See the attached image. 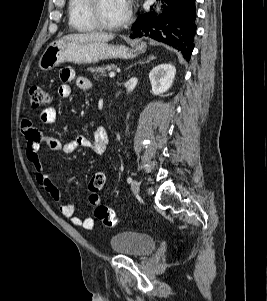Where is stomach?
Segmentation results:
<instances>
[{
	"mask_svg": "<svg viewBox=\"0 0 267 301\" xmlns=\"http://www.w3.org/2000/svg\"><path fill=\"white\" fill-rule=\"evenodd\" d=\"M144 51L145 45L142 43H133L132 48H128L124 45H111L107 42L81 43L61 39L48 45L40 57L38 65L42 71H49L65 62L84 64L112 58L127 59Z\"/></svg>",
	"mask_w": 267,
	"mask_h": 301,
	"instance_id": "stomach-1",
	"label": "stomach"
}]
</instances>
